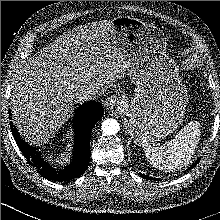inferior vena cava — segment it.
Segmentation results:
<instances>
[{
	"label": "inferior vena cava",
	"instance_id": "1",
	"mask_svg": "<svg viewBox=\"0 0 220 220\" xmlns=\"http://www.w3.org/2000/svg\"><path fill=\"white\" fill-rule=\"evenodd\" d=\"M100 93H101L100 89H95V88L87 89L80 94L79 100L80 101L91 100L92 98H95L96 96L100 95Z\"/></svg>",
	"mask_w": 220,
	"mask_h": 220
}]
</instances>
